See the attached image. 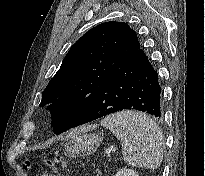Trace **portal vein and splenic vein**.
<instances>
[{
  "mask_svg": "<svg viewBox=\"0 0 205 176\" xmlns=\"http://www.w3.org/2000/svg\"><path fill=\"white\" fill-rule=\"evenodd\" d=\"M115 152L116 151V148L115 147H112L107 153L109 154L110 152Z\"/></svg>",
  "mask_w": 205,
  "mask_h": 176,
  "instance_id": "1",
  "label": "portal vein and splenic vein"
}]
</instances>
